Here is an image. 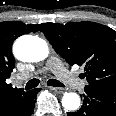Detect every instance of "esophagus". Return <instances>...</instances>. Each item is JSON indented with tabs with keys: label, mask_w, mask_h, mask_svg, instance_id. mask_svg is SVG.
Segmentation results:
<instances>
[{
	"label": "esophagus",
	"mask_w": 116,
	"mask_h": 116,
	"mask_svg": "<svg viewBox=\"0 0 116 116\" xmlns=\"http://www.w3.org/2000/svg\"><path fill=\"white\" fill-rule=\"evenodd\" d=\"M50 90H53L54 92L56 93H59V94H63L66 92V89L65 88H59V87H52V86H49L48 87Z\"/></svg>",
	"instance_id": "1"
}]
</instances>
